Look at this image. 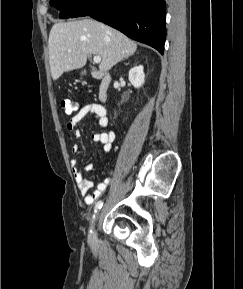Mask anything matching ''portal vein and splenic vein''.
I'll list each match as a JSON object with an SVG mask.
<instances>
[{
  "mask_svg": "<svg viewBox=\"0 0 243 289\" xmlns=\"http://www.w3.org/2000/svg\"><path fill=\"white\" fill-rule=\"evenodd\" d=\"M94 63H100L101 62V57L100 56H94L93 57Z\"/></svg>",
  "mask_w": 243,
  "mask_h": 289,
  "instance_id": "1",
  "label": "portal vein and splenic vein"
}]
</instances>
